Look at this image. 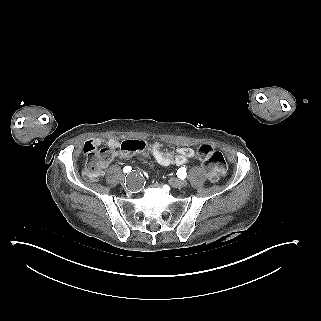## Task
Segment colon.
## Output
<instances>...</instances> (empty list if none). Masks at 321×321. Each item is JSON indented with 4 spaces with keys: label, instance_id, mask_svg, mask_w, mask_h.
<instances>
[{
    "label": "colon",
    "instance_id": "obj_1",
    "mask_svg": "<svg viewBox=\"0 0 321 321\" xmlns=\"http://www.w3.org/2000/svg\"><path fill=\"white\" fill-rule=\"evenodd\" d=\"M145 148V143L141 140H125L121 144V150L127 154H145ZM85 154L84 175L92 179L100 170L104 155L96 149H88ZM198 156L211 181H217L224 176L227 168L225 157L211 144L202 143L198 148Z\"/></svg>",
    "mask_w": 321,
    "mask_h": 321
}]
</instances>
